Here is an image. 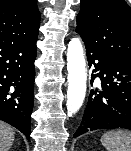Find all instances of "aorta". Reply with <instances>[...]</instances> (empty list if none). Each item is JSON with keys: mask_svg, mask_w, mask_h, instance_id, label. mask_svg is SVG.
Instances as JSON below:
<instances>
[{"mask_svg": "<svg viewBox=\"0 0 131 151\" xmlns=\"http://www.w3.org/2000/svg\"><path fill=\"white\" fill-rule=\"evenodd\" d=\"M68 90L67 114L71 117L82 106L86 95V62L82 43L79 38H72L67 51Z\"/></svg>", "mask_w": 131, "mask_h": 151, "instance_id": "aorta-1", "label": "aorta"}]
</instances>
